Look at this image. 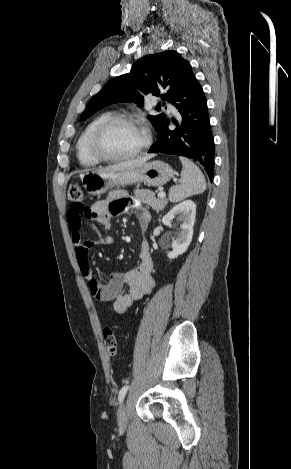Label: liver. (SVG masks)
Listing matches in <instances>:
<instances>
[{
	"instance_id": "liver-1",
	"label": "liver",
	"mask_w": 291,
	"mask_h": 469,
	"mask_svg": "<svg viewBox=\"0 0 291 469\" xmlns=\"http://www.w3.org/2000/svg\"><path fill=\"white\" fill-rule=\"evenodd\" d=\"M153 156L154 155H146V156H143L141 158L134 159V160H128V161H125V162H121V163H118V164L103 168V169L99 170V172H112V171L133 169V168L142 166L149 159H151Z\"/></svg>"
}]
</instances>
